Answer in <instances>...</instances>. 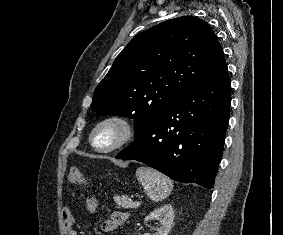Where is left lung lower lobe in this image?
<instances>
[{"mask_svg": "<svg viewBox=\"0 0 283 235\" xmlns=\"http://www.w3.org/2000/svg\"><path fill=\"white\" fill-rule=\"evenodd\" d=\"M226 63L184 91L116 158L140 161L178 182L212 188L231 103Z\"/></svg>", "mask_w": 283, "mask_h": 235, "instance_id": "left-lung-lower-lobe-1", "label": "left lung lower lobe"}]
</instances>
